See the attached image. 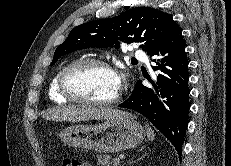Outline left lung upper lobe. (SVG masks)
<instances>
[{
  "label": "left lung upper lobe",
  "instance_id": "5c2ea615",
  "mask_svg": "<svg viewBox=\"0 0 231 166\" xmlns=\"http://www.w3.org/2000/svg\"><path fill=\"white\" fill-rule=\"evenodd\" d=\"M172 16L150 7H137L110 19L76 26L55 50L51 65L59 57L89 47L118 49L121 43H137L152 52L176 27Z\"/></svg>",
  "mask_w": 231,
  "mask_h": 166
}]
</instances>
